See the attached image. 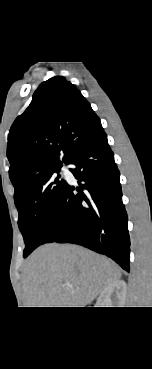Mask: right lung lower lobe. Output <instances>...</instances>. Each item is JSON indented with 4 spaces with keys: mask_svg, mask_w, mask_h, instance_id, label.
<instances>
[{
    "mask_svg": "<svg viewBox=\"0 0 152 369\" xmlns=\"http://www.w3.org/2000/svg\"><path fill=\"white\" fill-rule=\"evenodd\" d=\"M67 164L80 188L67 183L42 244L74 243L107 255L129 272L130 239L120 174L101 129Z\"/></svg>",
    "mask_w": 152,
    "mask_h": 369,
    "instance_id": "1",
    "label": "right lung lower lobe"
}]
</instances>
